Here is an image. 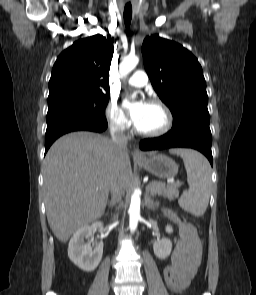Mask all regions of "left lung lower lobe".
<instances>
[{"instance_id": "0a47b994", "label": "left lung lower lobe", "mask_w": 256, "mask_h": 295, "mask_svg": "<svg viewBox=\"0 0 256 295\" xmlns=\"http://www.w3.org/2000/svg\"><path fill=\"white\" fill-rule=\"evenodd\" d=\"M142 150H157L174 147L193 148L202 152L213 165L211 151V131L209 125L187 122L172 128L161 137L142 140Z\"/></svg>"}]
</instances>
